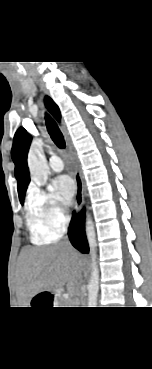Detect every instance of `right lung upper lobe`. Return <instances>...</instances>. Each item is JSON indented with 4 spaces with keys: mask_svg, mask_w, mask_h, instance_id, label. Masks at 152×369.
Segmentation results:
<instances>
[{
    "mask_svg": "<svg viewBox=\"0 0 152 369\" xmlns=\"http://www.w3.org/2000/svg\"><path fill=\"white\" fill-rule=\"evenodd\" d=\"M45 104L52 115L59 120L60 111L58 106L52 101L51 98H45ZM32 137L27 131L20 127L15 133L12 147V159L15 163V177L18 181L17 190L19 193L20 201H24L25 192L30 182L29 170L27 166V154Z\"/></svg>",
    "mask_w": 152,
    "mask_h": 369,
    "instance_id": "obj_1",
    "label": "right lung upper lobe"
}]
</instances>
